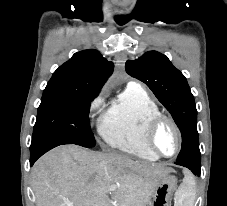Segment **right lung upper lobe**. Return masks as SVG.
<instances>
[{
  "instance_id": "obj_1",
  "label": "right lung upper lobe",
  "mask_w": 227,
  "mask_h": 206,
  "mask_svg": "<svg viewBox=\"0 0 227 206\" xmlns=\"http://www.w3.org/2000/svg\"><path fill=\"white\" fill-rule=\"evenodd\" d=\"M114 64L94 49L75 53L60 66L46 88L96 94L111 75Z\"/></svg>"
}]
</instances>
